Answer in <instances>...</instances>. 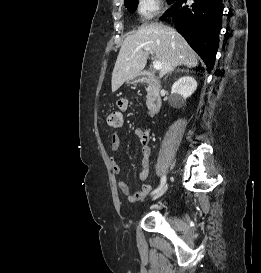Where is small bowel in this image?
<instances>
[{
  "mask_svg": "<svg viewBox=\"0 0 261 273\" xmlns=\"http://www.w3.org/2000/svg\"><path fill=\"white\" fill-rule=\"evenodd\" d=\"M128 108L127 100H119L117 102V109L120 112H125ZM138 142L141 146V160H140V172H139V180L145 181L149 176L150 170V156L151 150L148 146V142L150 139L151 131L149 129H137L135 131ZM120 148V136L115 133L111 138V149L112 151H118ZM111 167L114 174H119L121 172V166L115 158H111ZM119 190L127 196L128 201L131 203H136L145 198V196L151 190V185L143 184L138 192L135 194L130 193V188L128 184L124 181L118 182Z\"/></svg>",
  "mask_w": 261,
  "mask_h": 273,
  "instance_id": "c3829d8e",
  "label": "small bowel"
}]
</instances>
